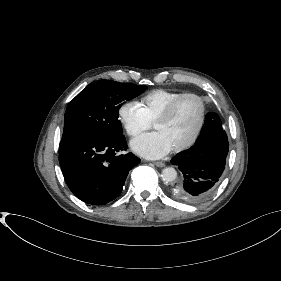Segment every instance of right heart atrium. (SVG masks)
I'll return each mask as SVG.
<instances>
[{"label":"right heart atrium","instance_id":"1","mask_svg":"<svg viewBox=\"0 0 281 281\" xmlns=\"http://www.w3.org/2000/svg\"><path fill=\"white\" fill-rule=\"evenodd\" d=\"M118 119L131 137L140 135L151 126V122L136 101L124 102L118 109Z\"/></svg>","mask_w":281,"mask_h":281}]
</instances>
